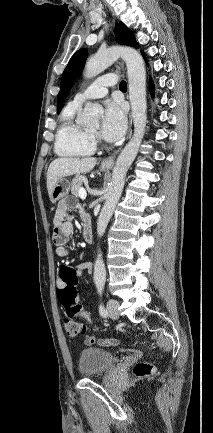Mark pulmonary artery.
I'll return each mask as SVG.
<instances>
[{"mask_svg":"<svg viewBox=\"0 0 213 433\" xmlns=\"http://www.w3.org/2000/svg\"><path fill=\"white\" fill-rule=\"evenodd\" d=\"M116 83L117 79L114 74L101 76L85 90L77 93L72 102L81 105L87 100L104 97L108 92V87L114 86Z\"/></svg>","mask_w":213,"mask_h":433,"instance_id":"1","label":"pulmonary artery"}]
</instances>
